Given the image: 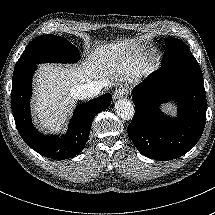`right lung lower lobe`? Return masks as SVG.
Segmentation results:
<instances>
[{
    "label": "right lung lower lobe",
    "instance_id": "1",
    "mask_svg": "<svg viewBox=\"0 0 215 215\" xmlns=\"http://www.w3.org/2000/svg\"><path fill=\"white\" fill-rule=\"evenodd\" d=\"M36 68V65H28L14 71L11 107L16 127L27 145L40 155L56 160L74 157L83 150L94 117L110 105L112 96L108 93L103 94L79 105L72 116L66 135H43L33 126L30 116L31 82Z\"/></svg>",
    "mask_w": 215,
    "mask_h": 215
}]
</instances>
